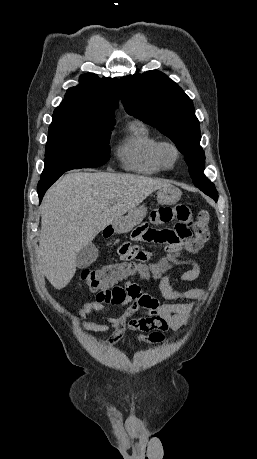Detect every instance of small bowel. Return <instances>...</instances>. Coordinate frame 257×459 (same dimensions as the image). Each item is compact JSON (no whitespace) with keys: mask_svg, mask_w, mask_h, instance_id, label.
Masks as SVG:
<instances>
[{"mask_svg":"<svg viewBox=\"0 0 257 459\" xmlns=\"http://www.w3.org/2000/svg\"><path fill=\"white\" fill-rule=\"evenodd\" d=\"M153 226L141 224L132 228L130 239H120L115 250L117 264H147L157 261L158 253L169 251L171 257H176L178 251L184 250L186 241H191L197 235V228L191 227L193 215L191 205H183L177 201L175 205H154L148 215ZM165 231V232H164ZM175 266H190L189 269L160 278L159 285L163 297L171 302L160 303L157 298L144 292L135 280H130L125 286H114L98 292L104 300L86 302L79 310L78 316L84 330L92 332L111 331L108 344H116L126 331L137 334L139 340L156 344L164 340L169 329L179 330L191 317L195 301L204 295L202 288L175 290L173 282H193L201 274V264L194 258L177 259ZM116 308H123L118 316H112ZM141 312L140 317H134ZM100 317L102 322L87 320L88 317Z\"/></svg>","mask_w":257,"mask_h":459,"instance_id":"c3829d8e","label":"small bowel"}]
</instances>
